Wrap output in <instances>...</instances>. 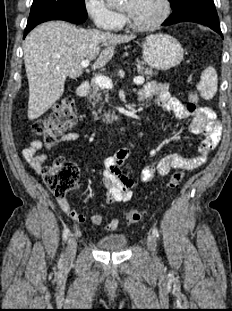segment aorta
I'll list each match as a JSON object with an SVG mask.
<instances>
[{"mask_svg":"<svg viewBox=\"0 0 232 311\" xmlns=\"http://www.w3.org/2000/svg\"><path fill=\"white\" fill-rule=\"evenodd\" d=\"M110 6H117L120 4L121 0H106Z\"/></svg>","mask_w":232,"mask_h":311,"instance_id":"obj_1","label":"aorta"}]
</instances>
